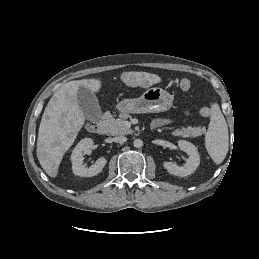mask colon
<instances>
[{
	"label": "colon",
	"mask_w": 259,
	"mask_h": 259,
	"mask_svg": "<svg viewBox=\"0 0 259 259\" xmlns=\"http://www.w3.org/2000/svg\"><path fill=\"white\" fill-rule=\"evenodd\" d=\"M178 85L182 91H188L191 88V81L188 78H181ZM200 115L204 118H209L211 111L208 107H202L200 109Z\"/></svg>",
	"instance_id": "colon-1"
}]
</instances>
